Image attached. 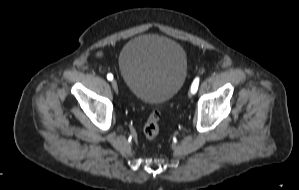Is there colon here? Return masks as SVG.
Here are the masks:
<instances>
[{"label": "colon", "mask_w": 299, "mask_h": 190, "mask_svg": "<svg viewBox=\"0 0 299 190\" xmlns=\"http://www.w3.org/2000/svg\"><path fill=\"white\" fill-rule=\"evenodd\" d=\"M161 118V113L159 110H154L150 114L147 122L144 125V136L147 140H154L159 134V120Z\"/></svg>", "instance_id": "1"}]
</instances>
